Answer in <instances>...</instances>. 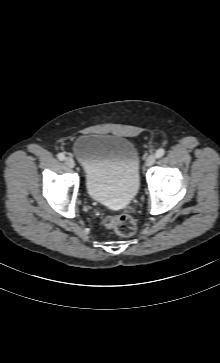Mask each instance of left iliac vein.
Masks as SVG:
<instances>
[{"label": "left iliac vein", "instance_id": "1", "mask_svg": "<svg viewBox=\"0 0 220 363\" xmlns=\"http://www.w3.org/2000/svg\"><path fill=\"white\" fill-rule=\"evenodd\" d=\"M156 161V156L155 155H150L149 157H147L146 161H145V165L147 167L152 166Z\"/></svg>", "mask_w": 220, "mask_h": 363}]
</instances>
